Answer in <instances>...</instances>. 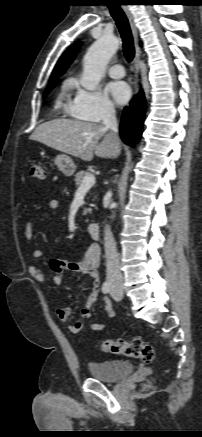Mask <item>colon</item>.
<instances>
[{
	"instance_id": "colon-1",
	"label": "colon",
	"mask_w": 202,
	"mask_h": 437,
	"mask_svg": "<svg viewBox=\"0 0 202 437\" xmlns=\"http://www.w3.org/2000/svg\"><path fill=\"white\" fill-rule=\"evenodd\" d=\"M30 175L34 179H44L45 173L41 162H32L30 166ZM101 350L103 352L139 359L144 363H151L155 358L154 348L139 338H134L131 341H125L122 339L105 340L101 344Z\"/></svg>"
}]
</instances>
